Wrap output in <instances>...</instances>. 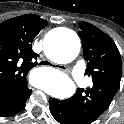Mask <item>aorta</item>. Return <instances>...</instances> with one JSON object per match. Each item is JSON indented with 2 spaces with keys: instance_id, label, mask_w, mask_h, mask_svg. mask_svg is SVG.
Wrapping results in <instances>:
<instances>
[{
  "instance_id": "1",
  "label": "aorta",
  "mask_w": 124,
  "mask_h": 124,
  "mask_svg": "<svg viewBox=\"0 0 124 124\" xmlns=\"http://www.w3.org/2000/svg\"><path fill=\"white\" fill-rule=\"evenodd\" d=\"M45 49L52 61L69 63L79 54L80 40L74 31L61 28L45 39ZM34 85L59 99L68 98L75 92L74 82L59 70H50L46 76L35 78Z\"/></svg>"
}]
</instances>
